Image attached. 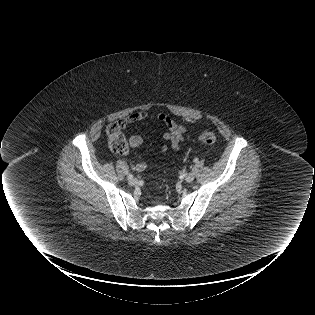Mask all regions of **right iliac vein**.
Returning a JSON list of instances; mask_svg holds the SVG:
<instances>
[{
    "label": "right iliac vein",
    "mask_w": 315,
    "mask_h": 315,
    "mask_svg": "<svg viewBox=\"0 0 315 315\" xmlns=\"http://www.w3.org/2000/svg\"><path fill=\"white\" fill-rule=\"evenodd\" d=\"M138 183V180L136 178H132L128 181V184L130 186H135Z\"/></svg>",
    "instance_id": "1"
}]
</instances>
